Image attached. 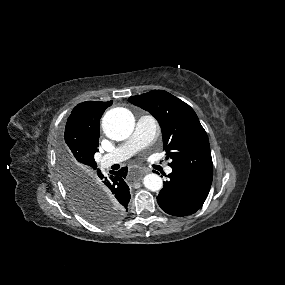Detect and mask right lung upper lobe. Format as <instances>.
Instances as JSON below:
<instances>
[{"label": "right lung upper lobe", "instance_id": "obj_1", "mask_svg": "<svg viewBox=\"0 0 285 285\" xmlns=\"http://www.w3.org/2000/svg\"><path fill=\"white\" fill-rule=\"evenodd\" d=\"M113 101H87L71 112L63 135L64 147L73 161L82 165L89 174L97 170L94 154L98 152L99 120Z\"/></svg>", "mask_w": 285, "mask_h": 285}]
</instances>
